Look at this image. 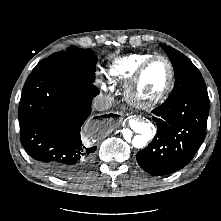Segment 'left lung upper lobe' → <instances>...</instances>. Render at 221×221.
I'll return each mask as SVG.
<instances>
[{"instance_id":"left-lung-upper-lobe-1","label":"left lung upper lobe","mask_w":221,"mask_h":221,"mask_svg":"<svg viewBox=\"0 0 221 221\" xmlns=\"http://www.w3.org/2000/svg\"><path fill=\"white\" fill-rule=\"evenodd\" d=\"M174 68L175 85L169 99H175L193 90H205L206 84L197 67L184 54L176 49L161 45Z\"/></svg>"}]
</instances>
